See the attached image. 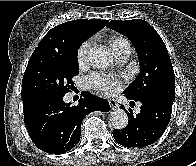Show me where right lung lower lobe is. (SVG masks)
Wrapping results in <instances>:
<instances>
[{"instance_id": "98d812e1", "label": "right lung lower lobe", "mask_w": 196, "mask_h": 166, "mask_svg": "<svg viewBox=\"0 0 196 166\" xmlns=\"http://www.w3.org/2000/svg\"><path fill=\"white\" fill-rule=\"evenodd\" d=\"M77 106L64 103V96L23 98L24 122L33 143L51 154H62L79 143L81 123L92 111L108 112L107 100L83 92Z\"/></svg>"}]
</instances>
